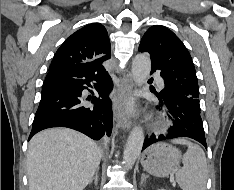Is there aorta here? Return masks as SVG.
I'll return each instance as SVG.
<instances>
[{
	"instance_id": "obj_1",
	"label": "aorta",
	"mask_w": 234,
	"mask_h": 190,
	"mask_svg": "<svg viewBox=\"0 0 234 190\" xmlns=\"http://www.w3.org/2000/svg\"><path fill=\"white\" fill-rule=\"evenodd\" d=\"M151 70V60L148 54H138L133 59L132 76L138 86L143 85ZM144 142V132L142 127L135 126L128 137L124 153L123 165L125 169H132L135 161L141 153Z\"/></svg>"
}]
</instances>
